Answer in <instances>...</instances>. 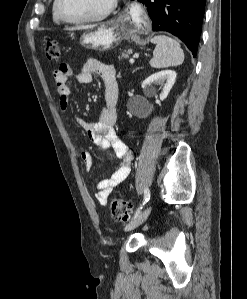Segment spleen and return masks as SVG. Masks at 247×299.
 Wrapping results in <instances>:
<instances>
[{"label": "spleen", "instance_id": "obj_1", "mask_svg": "<svg viewBox=\"0 0 247 299\" xmlns=\"http://www.w3.org/2000/svg\"><path fill=\"white\" fill-rule=\"evenodd\" d=\"M156 45L150 66L153 68H166L181 65L184 61V53L180 44L165 35H157L151 39Z\"/></svg>", "mask_w": 247, "mask_h": 299}]
</instances>
